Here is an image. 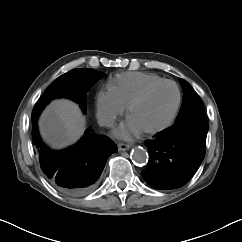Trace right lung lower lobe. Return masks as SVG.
Returning a JSON list of instances; mask_svg holds the SVG:
<instances>
[{
  "label": "right lung lower lobe",
  "mask_w": 242,
  "mask_h": 242,
  "mask_svg": "<svg viewBox=\"0 0 242 242\" xmlns=\"http://www.w3.org/2000/svg\"><path fill=\"white\" fill-rule=\"evenodd\" d=\"M37 120L32 119L33 143L49 182L59 191L73 196L93 190L108 157L117 151V146L108 137L88 129L76 144L63 150H52L42 141Z\"/></svg>",
  "instance_id": "98d812e1"
}]
</instances>
